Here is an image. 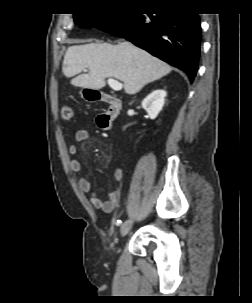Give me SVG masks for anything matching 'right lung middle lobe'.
Wrapping results in <instances>:
<instances>
[{"instance_id":"obj_1","label":"right lung middle lobe","mask_w":252,"mask_h":303,"mask_svg":"<svg viewBox=\"0 0 252 303\" xmlns=\"http://www.w3.org/2000/svg\"><path fill=\"white\" fill-rule=\"evenodd\" d=\"M128 14L122 13H84L74 14V21L80 27L101 29L107 25L114 24Z\"/></svg>"}]
</instances>
